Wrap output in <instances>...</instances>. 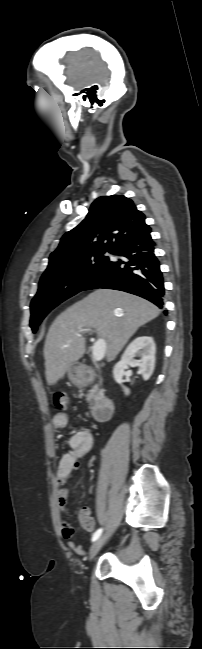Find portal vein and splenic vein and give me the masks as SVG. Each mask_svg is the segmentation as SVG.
Listing matches in <instances>:
<instances>
[{
  "label": "portal vein and splenic vein",
  "mask_w": 202,
  "mask_h": 649,
  "mask_svg": "<svg viewBox=\"0 0 202 649\" xmlns=\"http://www.w3.org/2000/svg\"><path fill=\"white\" fill-rule=\"evenodd\" d=\"M87 330L93 331L92 329H83L80 332L76 333V335L79 336L81 332H84V331H87ZM105 351H106L105 341H104V339L99 338L98 340L95 341V343H94V345L92 347V354H93L94 360L95 361L102 360V358L105 355Z\"/></svg>",
  "instance_id": "18ae733b"
}]
</instances>
